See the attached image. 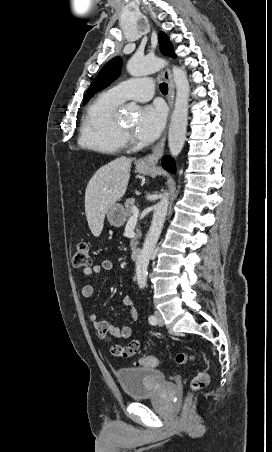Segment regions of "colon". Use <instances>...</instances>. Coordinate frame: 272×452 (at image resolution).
Wrapping results in <instances>:
<instances>
[{
  "instance_id": "obj_1",
  "label": "colon",
  "mask_w": 272,
  "mask_h": 452,
  "mask_svg": "<svg viewBox=\"0 0 272 452\" xmlns=\"http://www.w3.org/2000/svg\"><path fill=\"white\" fill-rule=\"evenodd\" d=\"M92 263L89 245L86 242H79L76 245L75 253L73 255V265L75 267H87ZM139 344L137 341H132L126 346H115L114 352L121 356L129 357L137 353ZM195 357L189 353H178L176 355V362L180 365L194 361ZM136 364L145 367H156L158 359L156 356L143 354L137 360ZM209 381V376L205 371L198 372L192 377L190 381V392L188 399L191 398L192 393L204 388Z\"/></svg>"
}]
</instances>
